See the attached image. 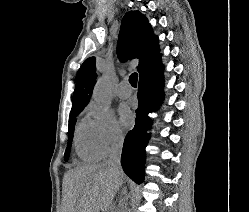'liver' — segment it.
Masks as SVG:
<instances>
[{
	"label": "liver",
	"instance_id": "6515ba94",
	"mask_svg": "<svg viewBox=\"0 0 249 212\" xmlns=\"http://www.w3.org/2000/svg\"><path fill=\"white\" fill-rule=\"evenodd\" d=\"M125 174L113 166H80L64 178L66 212H109Z\"/></svg>",
	"mask_w": 249,
	"mask_h": 212
}]
</instances>
